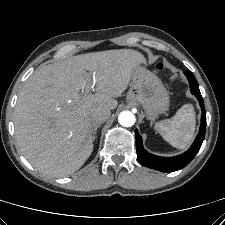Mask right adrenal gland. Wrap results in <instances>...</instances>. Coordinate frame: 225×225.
<instances>
[{"label":"right adrenal gland","mask_w":225,"mask_h":225,"mask_svg":"<svg viewBox=\"0 0 225 225\" xmlns=\"http://www.w3.org/2000/svg\"><path fill=\"white\" fill-rule=\"evenodd\" d=\"M100 126H101L100 124H97V125H95L94 128H93V141H95V139L97 138V137H96V134H97V130H98V128H99Z\"/></svg>","instance_id":"1"}]
</instances>
